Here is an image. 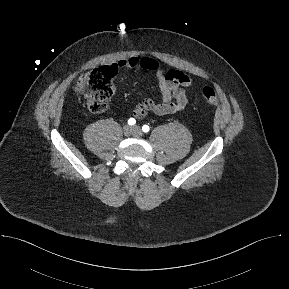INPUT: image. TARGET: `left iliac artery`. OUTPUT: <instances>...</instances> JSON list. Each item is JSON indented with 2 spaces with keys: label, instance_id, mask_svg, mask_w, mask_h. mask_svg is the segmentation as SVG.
Here are the masks:
<instances>
[{
  "label": "left iliac artery",
  "instance_id": "44dca946",
  "mask_svg": "<svg viewBox=\"0 0 289 289\" xmlns=\"http://www.w3.org/2000/svg\"><path fill=\"white\" fill-rule=\"evenodd\" d=\"M149 130H150V128H149L148 125H143V126H142V131H143L144 133L149 132Z\"/></svg>",
  "mask_w": 289,
  "mask_h": 289
}]
</instances>
